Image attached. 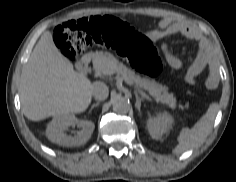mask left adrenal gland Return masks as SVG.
Here are the masks:
<instances>
[{
  "instance_id": "a2214340",
  "label": "left adrenal gland",
  "mask_w": 236,
  "mask_h": 182,
  "mask_svg": "<svg viewBox=\"0 0 236 182\" xmlns=\"http://www.w3.org/2000/svg\"><path fill=\"white\" fill-rule=\"evenodd\" d=\"M134 94H135V97H136L135 107L138 109V112H139V114H140V112H141V111H140L141 102L144 100V98H140V97L138 96L137 91H135Z\"/></svg>"
}]
</instances>
